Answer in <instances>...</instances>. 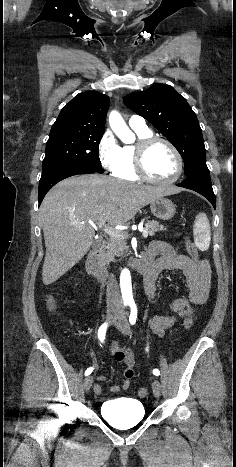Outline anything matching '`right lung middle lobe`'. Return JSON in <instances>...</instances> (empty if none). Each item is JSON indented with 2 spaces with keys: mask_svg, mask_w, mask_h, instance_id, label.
Masks as SVG:
<instances>
[{
  "mask_svg": "<svg viewBox=\"0 0 236 467\" xmlns=\"http://www.w3.org/2000/svg\"><path fill=\"white\" fill-rule=\"evenodd\" d=\"M103 133L104 131L64 127L51 128L42 170L58 164L72 163L102 173L98 148Z\"/></svg>",
  "mask_w": 236,
  "mask_h": 467,
  "instance_id": "dd1d6c3e",
  "label": "right lung middle lobe"
}]
</instances>
